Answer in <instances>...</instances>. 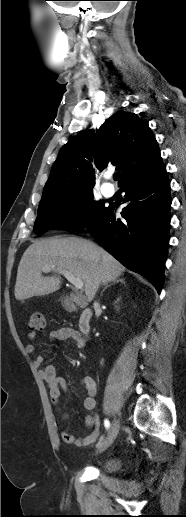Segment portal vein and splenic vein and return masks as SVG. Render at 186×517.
Masks as SVG:
<instances>
[{
	"mask_svg": "<svg viewBox=\"0 0 186 517\" xmlns=\"http://www.w3.org/2000/svg\"><path fill=\"white\" fill-rule=\"evenodd\" d=\"M43 272H50L51 270L57 271L58 273L64 275V277L72 284L76 289L83 288V281L80 278H76L72 273L66 270L55 269L54 266H45L42 268Z\"/></svg>",
	"mask_w": 186,
	"mask_h": 517,
	"instance_id": "portal-vein-and-splenic-vein-1",
	"label": "portal vein and splenic vein"
}]
</instances>
